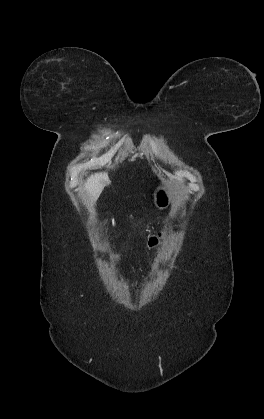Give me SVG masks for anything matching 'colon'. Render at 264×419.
<instances>
[{
	"label": "colon",
	"mask_w": 264,
	"mask_h": 419,
	"mask_svg": "<svg viewBox=\"0 0 264 419\" xmlns=\"http://www.w3.org/2000/svg\"><path fill=\"white\" fill-rule=\"evenodd\" d=\"M158 241H159V236H152L149 239V245L153 247L158 244Z\"/></svg>",
	"instance_id": "colon-1"
}]
</instances>
